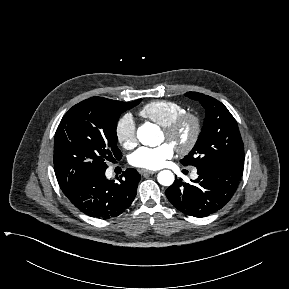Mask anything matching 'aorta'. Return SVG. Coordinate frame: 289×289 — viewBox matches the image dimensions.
Segmentation results:
<instances>
[{
  "label": "aorta",
  "mask_w": 289,
  "mask_h": 289,
  "mask_svg": "<svg viewBox=\"0 0 289 289\" xmlns=\"http://www.w3.org/2000/svg\"><path fill=\"white\" fill-rule=\"evenodd\" d=\"M157 127L151 123H145L137 130L138 140L147 146L156 145L155 135L157 134ZM174 174L170 170H162L157 175L158 182L163 186H170L174 182Z\"/></svg>",
  "instance_id": "1"
}]
</instances>
